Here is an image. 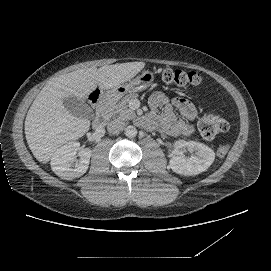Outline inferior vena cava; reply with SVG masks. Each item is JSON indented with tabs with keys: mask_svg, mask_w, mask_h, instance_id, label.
<instances>
[{
	"mask_svg": "<svg viewBox=\"0 0 271 271\" xmlns=\"http://www.w3.org/2000/svg\"><path fill=\"white\" fill-rule=\"evenodd\" d=\"M124 125V122L120 119H111L107 125V131L110 134H118L123 130Z\"/></svg>",
	"mask_w": 271,
	"mask_h": 271,
	"instance_id": "602c4592",
	"label": "inferior vena cava"
}]
</instances>
